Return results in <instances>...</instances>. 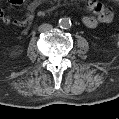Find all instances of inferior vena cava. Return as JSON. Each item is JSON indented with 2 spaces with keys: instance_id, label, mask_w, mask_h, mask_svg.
<instances>
[{
  "instance_id": "inferior-vena-cava-1",
  "label": "inferior vena cava",
  "mask_w": 119,
  "mask_h": 119,
  "mask_svg": "<svg viewBox=\"0 0 119 119\" xmlns=\"http://www.w3.org/2000/svg\"><path fill=\"white\" fill-rule=\"evenodd\" d=\"M52 29V26L50 24L44 23L39 26L38 30L39 32H46Z\"/></svg>"
}]
</instances>
